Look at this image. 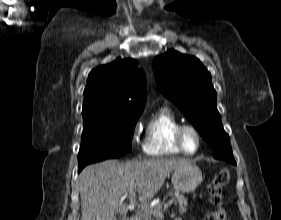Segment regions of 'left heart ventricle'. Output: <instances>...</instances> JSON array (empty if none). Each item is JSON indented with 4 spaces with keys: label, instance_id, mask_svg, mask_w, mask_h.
Here are the masks:
<instances>
[{
    "label": "left heart ventricle",
    "instance_id": "1",
    "mask_svg": "<svg viewBox=\"0 0 281 220\" xmlns=\"http://www.w3.org/2000/svg\"><path fill=\"white\" fill-rule=\"evenodd\" d=\"M185 147L188 151H194L197 147V139L191 132H187L184 135Z\"/></svg>",
    "mask_w": 281,
    "mask_h": 220
}]
</instances>
